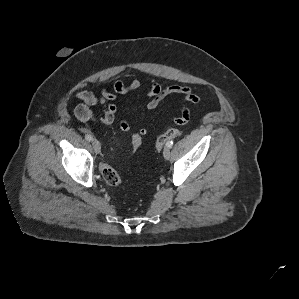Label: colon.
I'll return each mask as SVG.
<instances>
[{"label":"colon","mask_w":299,"mask_h":299,"mask_svg":"<svg viewBox=\"0 0 299 299\" xmlns=\"http://www.w3.org/2000/svg\"><path fill=\"white\" fill-rule=\"evenodd\" d=\"M180 135V131L175 128H170L162 135H160L156 142L155 147L160 150L166 142ZM143 135L139 131L132 132L130 138V153H135L142 145ZM103 180L110 186H116L121 182L119 173L107 164H102L100 167Z\"/></svg>","instance_id":"colon-1"}]
</instances>
